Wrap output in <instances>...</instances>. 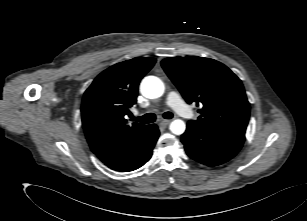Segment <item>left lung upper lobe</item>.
<instances>
[{
    "instance_id": "obj_1",
    "label": "left lung upper lobe",
    "mask_w": 307,
    "mask_h": 221,
    "mask_svg": "<svg viewBox=\"0 0 307 221\" xmlns=\"http://www.w3.org/2000/svg\"><path fill=\"white\" fill-rule=\"evenodd\" d=\"M166 74L201 114L196 124L245 134L250 104L241 80L224 64L198 56L162 60Z\"/></svg>"
}]
</instances>
